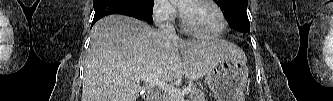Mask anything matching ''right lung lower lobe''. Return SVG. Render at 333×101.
<instances>
[{
  "mask_svg": "<svg viewBox=\"0 0 333 101\" xmlns=\"http://www.w3.org/2000/svg\"><path fill=\"white\" fill-rule=\"evenodd\" d=\"M93 6L95 15L92 25L110 14H122L152 22V16L148 14L138 0H93Z\"/></svg>",
  "mask_w": 333,
  "mask_h": 101,
  "instance_id": "98d812e1",
  "label": "right lung lower lobe"
}]
</instances>
